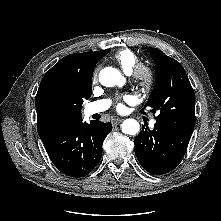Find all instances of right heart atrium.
<instances>
[{
    "instance_id": "obj_1",
    "label": "right heart atrium",
    "mask_w": 221,
    "mask_h": 221,
    "mask_svg": "<svg viewBox=\"0 0 221 221\" xmlns=\"http://www.w3.org/2000/svg\"><path fill=\"white\" fill-rule=\"evenodd\" d=\"M94 79H96V74H95V76H94Z\"/></svg>"
}]
</instances>
